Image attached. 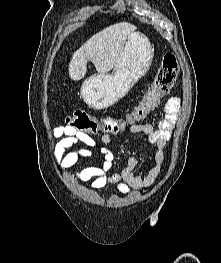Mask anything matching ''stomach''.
<instances>
[{"label": "stomach", "instance_id": "1", "mask_svg": "<svg viewBox=\"0 0 221 263\" xmlns=\"http://www.w3.org/2000/svg\"><path fill=\"white\" fill-rule=\"evenodd\" d=\"M154 49L141 33L130 34L120 51L113 74L98 73L81 86L84 101L94 109H106L124 97L150 68Z\"/></svg>", "mask_w": 221, "mask_h": 263}]
</instances>
